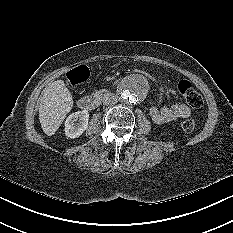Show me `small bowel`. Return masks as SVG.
Instances as JSON below:
<instances>
[{
	"instance_id": "small-bowel-1",
	"label": "small bowel",
	"mask_w": 233,
	"mask_h": 233,
	"mask_svg": "<svg viewBox=\"0 0 233 233\" xmlns=\"http://www.w3.org/2000/svg\"><path fill=\"white\" fill-rule=\"evenodd\" d=\"M189 115L190 109L184 103H176L170 106L162 107L153 106L150 109V116L152 120L158 125L184 119Z\"/></svg>"
}]
</instances>
